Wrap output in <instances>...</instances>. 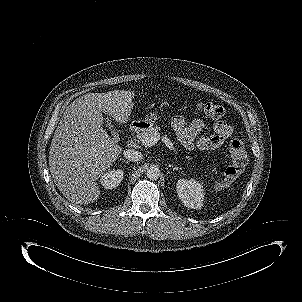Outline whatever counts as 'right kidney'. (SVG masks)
I'll list each match as a JSON object with an SVG mask.
<instances>
[{"label": "right kidney", "instance_id": "obj_1", "mask_svg": "<svg viewBox=\"0 0 302 302\" xmlns=\"http://www.w3.org/2000/svg\"><path fill=\"white\" fill-rule=\"evenodd\" d=\"M123 179V171L121 169L106 173L101 178V184L105 189L117 187Z\"/></svg>", "mask_w": 302, "mask_h": 302}]
</instances>
